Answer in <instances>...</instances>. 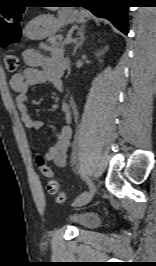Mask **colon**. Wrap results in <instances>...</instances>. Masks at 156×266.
I'll return each instance as SVG.
<instances>
[{
    "instance_id": "obj_1",
    "label": "colon",
    "mask_w": 156,
    "mask_h": 266,
    "mask_svg": "<svg viewBox=\"0 0 156 266\" xmlns=\"http://www.w3.org/2000/svg\"><path fill=\"white\" fill-rule=\"evenodd\" d=\"M22 12L15 9L9 15L0 20V43L7 46L16 43L20 40L21 29L19 21ZM4 64L9 72H15L20 66V59L14 53H6L4 55ZM36 162L40 168L41 173L47 179V190L50 194L55 196V201L58 204H63L67 201L66 194L60 189L59 182L54 176L52 169L46 165L45 160L38 156Z\"/></svg>"
}]
</instances>
